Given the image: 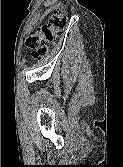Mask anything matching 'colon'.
I'll use <instances>...</instances> for the list:
<instances>
[{"mask_svg":"<svg viewBox=\"0 0 123 167\" xmlns=\"http://www.w3.org/2000/svg\"><path fill=\"white\" fill-rule=\"evenodd\" d=\"M67 25L66 10L64 7L53 12L47 23L31 34L26 45L33 50L32 56L36 60L43 59L48 53L49 45L53 44Z\"/></svg>","mask_w":123,"mask_h":167,"instance_id":"colon-1","label":"colon"}]
</instances>
